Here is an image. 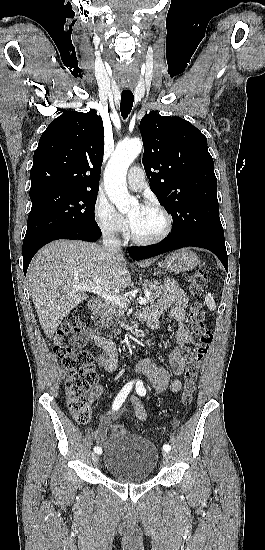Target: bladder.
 <instances>
[{"label":"bladder","mask_w":265,"mask_h":550,"mask_svg":"<svg viewBox=\"0 0 265 550\" xmlns=\"http://www.w3.org/2000/svg\"><path fill=\"white\" fill-rule=\"evenodd\" d=\"M104 468L113 478L124 482H141L156 468L158 452L145 437L136 434L113 436L103 450Z\"/></svg>","instance_id":"31cf9c89"}]
</instances>
